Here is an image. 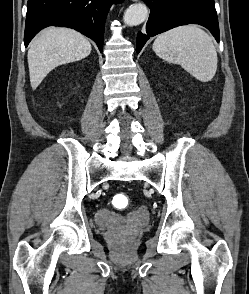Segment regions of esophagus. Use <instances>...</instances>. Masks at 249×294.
I'll return each mask as SVG.
<instances>
[{"label":"esophagus","instance_id":"esophagus-1","mask_svg":"<svg viewBox=\"0 0 249 294\" xmlns=\"http://www.w3.org/2000/svg\"><path fill=\"white\" fill-rule=\"evenodd\" d=\"M133 2H137L138 0H132Z\"/></svg>","mask_w":249,"mask_h":294}]
</instances>
